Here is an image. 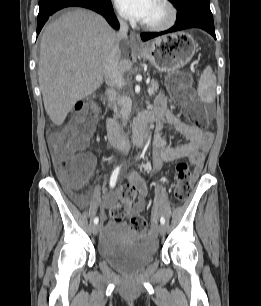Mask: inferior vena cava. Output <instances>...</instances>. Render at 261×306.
I'll list each match as a JSON object with an SVG mask.
<instances>
[{
	"label": "inferior vena cava",
	"mask_w": 261,
	"mask_h": 306,
	"mask_svg": "<svg viewBox=\"0 0 261 306\" xmlns=\"http://www.w3.org/2000/svg\"><path fill=\"white\" fill-rule=\"evenodd\" d=\"M128 25L124 20H120V30L118 32L119 40L127 38ZM120 50L119 46H115L109 52L103 63V72L105 75L106 84L112 88L121 87L124 85L123 74L119 66Z\"/></svg>",
	"instance_id": "1"
}]
</instances>
